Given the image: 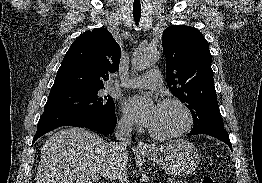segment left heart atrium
Returning <instances> with one entry per match:
<instances>
[{
  "label": "left heart atrium",
  "instance_id": "39dd6f15",
  "mask_svg": "<svg viewBox=\"0 0 262 183\" xmlns=\"http://www.w3.org/2000/svg\"><path fill=\"white\" fill-rule=\"evenodd\" d=\"M159 106L153 99L141 95L129 97L123 102L125 112L148 128L152 127Z\"/></svg>",
  "mask_w": 262,
  "mask_h": 183
}]
</instances>
